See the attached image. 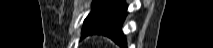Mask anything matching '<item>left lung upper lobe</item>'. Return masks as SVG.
<instances>
[{
	"mask_svg": "<svg viewBox=\"0 0 213 48\" xmlns=\"http://www.w3.org/2000/svg\"><path fill=\"white\" fill-rule=\"evenodd\" d=\"M118 0H93L92 10L84 21L83 29L87 26L90 20L99 12L109 8ZM82 29V30H83Z\"/></svg>",
	"mask_w": 213,
	"mask_h": 48,
	"instance_id": "1",
	"label": "left lung upper lobe"
}]
</instances>
